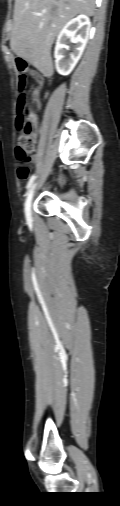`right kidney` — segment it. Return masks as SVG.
<instances>
[{
  "label": "right kidney",
  "instance_id": "right-kidney-1",
  "mask_svg": "<svg viewBox=\"0 0 120 506\" xmlns=\"http://www.w3.org/2000/svg\"><path fill=\"white\" fill-rule=\"evenodd\" d=\"M91 23L86 15H79L70 20L60 31L55 47V66L61 75H68L72 72L85 49L90 36ZM77 32L79 34L77 35ZM75 44L69 58H65V50H69L68 42Z\"/></svg>",
  "mask_w": 120,
  "mask_h": 506
}]
</instances>
